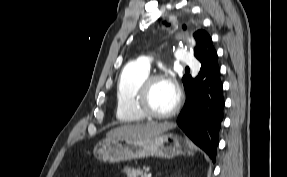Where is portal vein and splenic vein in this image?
<instances>
[{"label":"portal vein and splenic vein","instance_id":"portal-vein-and-splenic-vein-1","mask_svg":"<svg viewBox=\"0 0 287 177\" xmlns=\"http://www.w3.org/2000/svg\"><path fill=\"white\" fill-rule=\"evenodd\" d=\"M152 175L151 174H148L146 177H151Z\"/></svg>","mask_w":287,"mask_h":177}]
</instances>
